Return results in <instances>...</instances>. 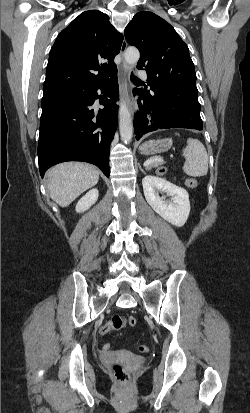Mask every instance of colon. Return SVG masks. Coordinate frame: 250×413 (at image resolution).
Here are the masks:
<instances>
[{
    "label": "colon",
    "instance_id": "5ec220e1",
    "mask_svg": "<svg viewBox=\"0 0 250 413\" xmlns=\"http://www.w3.org/2000/svg\"><path fill=\"white\" fill-rule=\"evenodd\" d=\"M168 169L165 166L158 168V173L163 175L167 173ZM186 185L189 188H195L198 186V181L194 178L186 180ZM136 324V319L133 316H114L111 320H106L101 324V327L98 330L100 336H107L109 331L120 330L126 327H133ZM113 348V343L110 341H105L102 344V351L107 353L110 349ZM137 350L140 353H147L149 347L147 345H139ZM112 373L115 379L120 383H125L129 380L130 374L127 368L121 363H114L112 365Z\"/></svg>",
    "mask_w": 250,
    "mask_h": 413
}]
</instances>
